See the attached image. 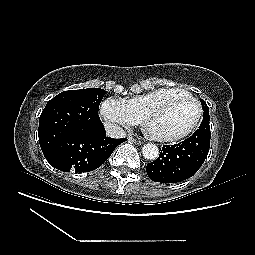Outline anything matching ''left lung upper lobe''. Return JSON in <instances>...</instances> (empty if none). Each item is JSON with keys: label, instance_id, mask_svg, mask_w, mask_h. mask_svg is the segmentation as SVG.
Segmentation results:
<instances>
[{"label": "left lung upper lobe", "instance_id": "1", "mask_svg": "<svg viewBox=\"0 0 255 255\" xmlns=\"http://www.w3.org/2000/svg\"><path fill=\"white\" fill-rule=\"evenodd\" d=\"M200 101H201V104H202V108H203V121L205 120V119H210L209 118V108H208V106L206 105V103H205V101L204 100H202V99H200Z\"/></svg>", "mask_w": 255, "mask_h": 255}]
</instances>
